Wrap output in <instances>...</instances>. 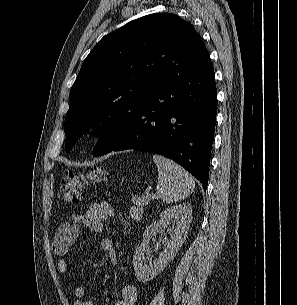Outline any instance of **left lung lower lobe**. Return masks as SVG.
<instances>
[{
	"label": "left lung lower lobe",
	"mask_w": 297,
	"mask_h": 305,
	"mask_svg": "<svg viewBox=\"0 0 297 305\" xmlns=\"http://www.w3.org/2000/svg\"><path fill=\"white\" fill-rule=\"evenodd\" d=\"M216 96L212 63L169 80L141 106L126 132L109 140V147L100 155L126 149L161 154L183 166L206 190Z\"/></svg>",
	"instance_id": "0a47b994"
}]
</instances>
